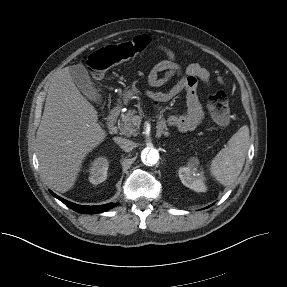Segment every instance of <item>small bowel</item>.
Returning a JSON list of instances; mask_svg holds the SVG:
<instances>
[{"label":"small bowel","instance_id":"small-bowel-1","mask_svg":"<svg viewBox=\"0 0 287 287\" xmlns=\"http://www.w3.org/2000/svg\"><path fill=\"white\" fill-rule=\"evenodd\" d=\"M166 58L159 61L151 69L148 74V84L151 87H161L167 84L173 78H179L174 86L166 92L146 90V94L150 97L159 111L160 122L159 127L164 129L168 123L182 132L195 129L204 118L202 104L198 97L199 83L208 85L210 74L209 71L199 63H192L185 69L177 62L175 53L166 46H158ZM222 83V79H219ZM186 94V109L180 115H165L162 106L179 95Z\"/></svg>","mask_w":287,"mask_h":287}]
</instances>
